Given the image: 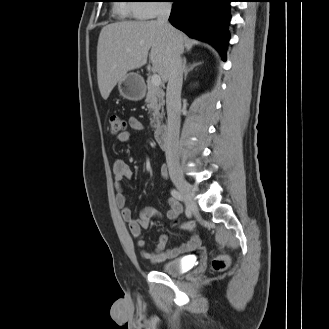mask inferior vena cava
<instances>
[{"label": "inferior vena cava", "mask_w": 329, "mask_h": 329, "mask_svg": "<svg viewBox=\"0 0 329 329\" xmlns=\"http://www.w3.org/2000/svg\"><path fill=\"white\" fill-rule=\"evenodd\" d=\"M171 12V4L164 2L159 6L157 23L167 32L172 42V59L170 62V72L166 89V109H167V141H166V161L170 177L176 178L180 175V165L178 159V140L180 133V110H181V88L183 81L182 60L180 50L174 35V28L168 19Z\"/></svg>", "instance_id": "obj_1"}]
</instances>
